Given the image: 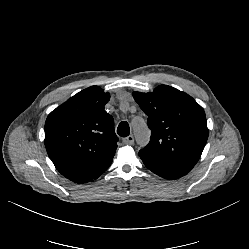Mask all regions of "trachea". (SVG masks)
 Segmentation results:
<instances>
[{"label": "trachea", "instance_id": "3493384b", "mask_svg": "<svg viewBox=\"0 0 249 249\" xmlns=\"http://www.w3.org/2000/svg\"><path fill=\"white\" fill-rule=\"evenodd\" d=\"M117 133L121 136V137H126L130 134V128L127 122L123 121L119 124V126L117 127Z\"/></svg>", "mask_w": 249, "mask_h": 249}]
</instances>
